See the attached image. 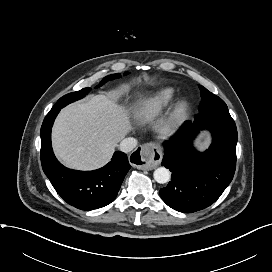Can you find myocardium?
Returning <instances> with one entry per match:
<instances>
[{
    "label": "myocardium",
    "mask_w": 272,
    "mask_h": 272,
    "mask_svg": "<svg viewBox=\"0 0 272 272\" xmlns=\"http://www.w3.org/2000/svg\"><path fill=\"white\" fill-rule=\"evenodd\" d=\"M186 107H187V101L182 99L177 103L176 111L177 112H182V111H184L186 109Z\"/></svg>",
    "instance_id": "obj_1"
}]
</instances>
